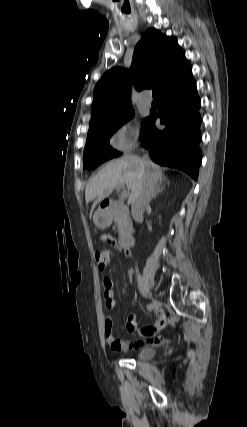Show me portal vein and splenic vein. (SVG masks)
Listing matches in <instances>:
<instances>
[{"instance_id": "18ae733b", "label": "portal vein and splenic vein", "mask_w": 247, "mask_h": 427, "mask_svg": "<svg viewBox=\"0 0 247 427\" xmlns=\"http://www.w3.org/2000/svg\"><path fill=\"white\" fill-rule=\"evenodd\" d=\"M128 196V192L127 191H123L122 193H121V197L122 198H126Z\"/></svg>"}]
</instances>
